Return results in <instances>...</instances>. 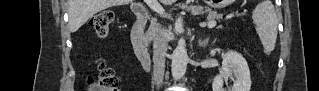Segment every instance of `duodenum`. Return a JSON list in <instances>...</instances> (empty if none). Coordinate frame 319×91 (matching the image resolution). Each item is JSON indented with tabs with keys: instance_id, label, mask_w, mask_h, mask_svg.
<instances>
[{
	"instance_id": "duodenum-1",
	"label": "duodenum",
	"mask_w": 319,
	"mask_h": 91,
	"mask_svg": "<svg viewBox=\"0 0 319 91\" xmlns=\"http://www.w3.org/2000/svg\"><path fill=\"white\" fill-rule=\"evenodd\" d=\"M135 22L132 26L131 38L135 55L145 70L151 69V56L147 48L145 26L149 13L145 6L136 4L133 7Z\"/></svg>"
}]
</instances>
